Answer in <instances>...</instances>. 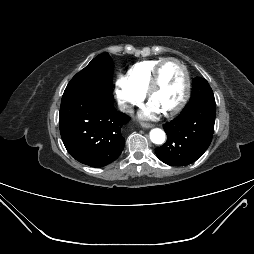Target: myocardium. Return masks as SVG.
I'll use <instances>...</instances> for the list:
<instances>
[{"mask_svg":"<svg viewBox=\"0 0 254 254\" xmlns=\"http://www.w3.org/2000/svg\"><path fill=\"white\" fill-rule=\"evenodd\" d=\"M168 62L177 63L180 66V68L182 69L183 77H184V89H183L181 99L179 100V102L173 108H171V109L164 112L165 115L172 116V115L177 114L179 111H181L183 109V107L187 103L189 95H190V89H191L190 75H189L188 68H187V66L185 65V63L183 61H181L180 59L175 58V57L164 58L156 66V68L153 72L150 84H149V86L147 88V91H146V96L149 100L151 99L153 93L155 92V90L159 86L160 75H161L162 68Z\"/></svg>","mask_w":254,"mask_h":254,"instance_id":"obj_1","label":"myocardium"}]
</instances>
